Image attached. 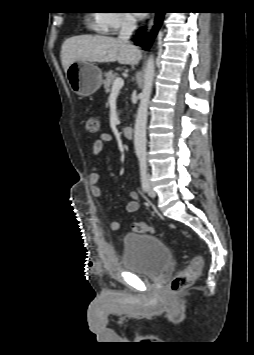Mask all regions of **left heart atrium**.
<instances>
[{
    "instance_id": "left-heart-atrium-1",
    "label": "left heart atrium",
    "mask_w": 254,
    "mask_h": 355,
    "mask_svg": "<svg viewBox=\"0 0 254 355\" xmlns=\"http://www.w3.org/2000/svg\"><path fill=\"white\" fill-rule=\"evenodd\" d=\"M135 15H136L137 17H142L144 14H143V13H140V12H136Z\"/></svg>"
}]
</instances>
